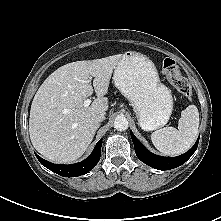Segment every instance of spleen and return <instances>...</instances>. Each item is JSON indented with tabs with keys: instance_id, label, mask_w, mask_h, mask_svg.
I'll use <instances>...</instances> for the list:
<instances>
[{
	"instance_id": "3e777b00",
	"label": "spleen",
	"mask_w": 221,
	"mask_h": 221,
	"mask_svg": "<svg viewBox=\"0 0 221 221\" xmlns=\"http://www.w3.org/2000/svg\"><path fill=\"white\" fill-rule=\"evenodd\" d=\"M199 128V112L195 105H189L181 112L178 129L164 127L152 133L151 140L157 150L165 155H179L186 152L195 142Z\"/></svg>"
}]
</instances>
